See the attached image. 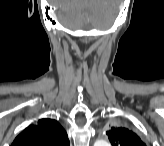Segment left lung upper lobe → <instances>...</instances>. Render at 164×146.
Masks as SVG:
<instances>
[{
	"mask_svg": "<svg viewBox=\"0 0 164 146\" xmlns=\"http://www.w3.org/2000/svg\"><path fill=\"white\" fill-rule=\"evenodd\" d=\"M106 134L111 144L115 146H145L133 131L124 127L111 128Z\"/></svg>",
	"mask_w": 164,
	"mask_h": 146,
	"instance_id": "1",
	"label": "left lung upper lobe"
}]
</instances>
